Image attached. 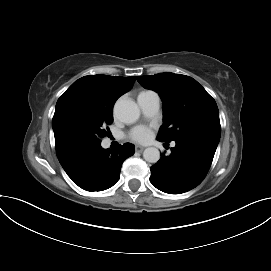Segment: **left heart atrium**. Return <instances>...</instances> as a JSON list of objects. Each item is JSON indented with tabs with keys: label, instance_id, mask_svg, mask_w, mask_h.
<instances>
[{
	"label": "left heart atrium",
	"instance_id": "39dd6f15",
	"mask_svg": "<svg viewBox=\"0 0 271 271\" xmlns=\"http://www.w3.org/2000/svg\"><path fill=\"white\" fill-rule=\"evenodd\" d=\"M129 138L135 142L146 143L152 138V131L145 126H137L129 133Z\"/></svg>",
	"mask_w": 271,
	"mask_h": 271
}]
</instances>
